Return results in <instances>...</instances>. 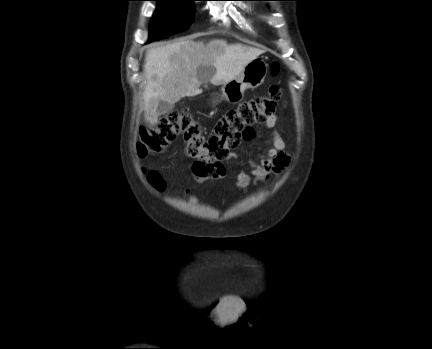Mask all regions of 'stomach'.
I'll return each mask as SVG.
<instances>
[{"label":"stomach","mask_w":432,"mask_h":349,"mask_svg":"<svg viewBox=\"0 0 432 349\" xmlns=\"http://www.w3.org/2000/svg\"><path fill=\"white\" fill-rule=\"evenodd\" d=\"M267 71L268 64L263 59H253L240 75L222 85V97L233 104L241 102L246 89L256 88L264 82Z\"/></svg>","instance_id":"stomach-1"}]
</instances>
